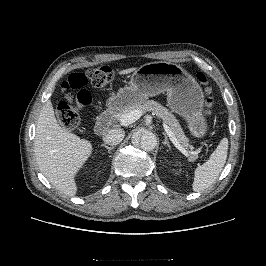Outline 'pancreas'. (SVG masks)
<instances>
[{
  "mask_svg": "<svg viewBox=\"0 0 266 266\" xmlns=\"http://www.w3.org/2000/svg\"><path fill=\"white\" fill-rule=\"evenodd\" d=\"M134 110H139L142 114L152 111L153 114L161 118L164 123L170 127L175 137L183 147L188 148L190 146L189 139L184 134V131L181 128L176 117L170 111H168V109H166L164 106L154 100H146L142 104L126 107L120 112L116 113L114 117L117 120H120L122 116ZM196 157V155H191L190 160H195Z\"/></svg>",
  "mask_w": 266,
  "mask_h": 266,
  "instance_id": "obj_1",
  "label": "pancreas"
}]
</instances>
